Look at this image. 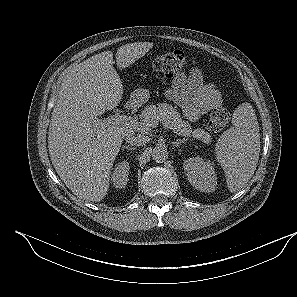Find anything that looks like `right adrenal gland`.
Instances as JSON below:
<instances>
[{
    "instance_id": "obj_1",
    "label": "right adrenal gland",
    "mask_w": 297,
    "mask_h": 297,
    "mask_svg": "<svg viewBox=\"0 0 297 297\" xmlns=\"http://www.w3.org/2000/svg\"><path fill=\"white\" fill-rule=\"evenodd\" d=\"M128 150V151H134L135 150V148L134 147H131V146H123L122 147V150Z\"/></svg>"
}]
</instances>
